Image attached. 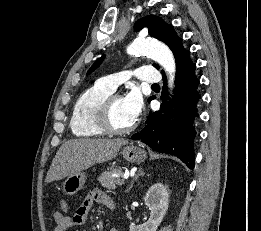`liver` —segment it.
<instances>
[{
    "label": "liver",
    "mask_w": 261,
    "mask_h": 231,
    "mask_svg": "<svg viewBox=\"0 0 261 231\" xmlns=\"http://www.w3.org/2000/svg\"><path fill=\"white\" fill-rule=\"evenodd\" d=\"M124 139H73L65 142L57 151L48 170L45 182L62 180L81 172L96 163H103L116 157Z\"/></svg>",
    "instance_id": "liver-1"
}]
</instances>
